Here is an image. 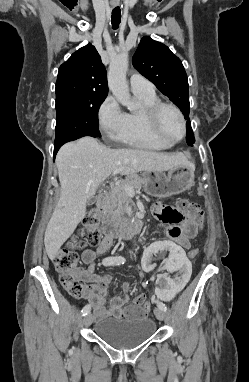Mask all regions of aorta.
I'll return each mask as SVG.
<instances>
[{"instance_id":"obj_1","label":"aorta","mask_w":249,"mask_h":382,"mask_svg":"<svg viewBox=\"0 0 249 382\" xmlns=\"http://www.w3.org/2000/svg\"><path fill=\"white\" fill-rule=\"evenodd\" d=\"M128 69V53L123 52L113 58L109 65L107 75L108 87L115 98L129 110L136 108V103L131 99L128 84L126 81V72ZM129 217L132 216L130 207L126 208Z\"/></svg>"}]
</instances>
